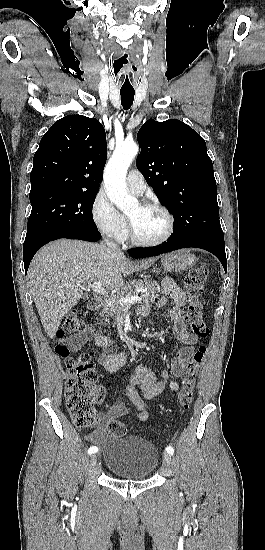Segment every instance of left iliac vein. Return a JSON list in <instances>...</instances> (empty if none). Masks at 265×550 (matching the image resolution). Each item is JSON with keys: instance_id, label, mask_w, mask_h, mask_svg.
Listing matches in <instances>:
<instances>
[{"instance_id": "obj_1", "label": "left iliac vein", "mask_w": 265, "mask_h": 550, "mask_svg": "<svg viewBox=\"0 0 265 550\" xmlns=\"http://www.w3.org/2000/svg\"><path fill=\"white\" fill-rule=\"evenodd\" d=\"M171 465V456L169 453H164L163 455V466L169 467Z\"/></svg>"}]
</instances>
